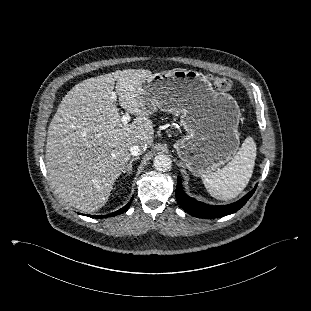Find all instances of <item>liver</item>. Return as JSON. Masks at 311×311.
I'll use <instances>...</instances> for the list:
<instances>
[{"label": "liver", "mask_w": 311, "mask_h": 311, "mask_svg": "<svg viewBox=\"0 0 311 311\" xmlns=\"http://www.w3.org/2000/svg\"><path fill=\"white\" fill-rule=\"evenodd\" d=\"M152 72L125 69L75 85L62 99L47 135L46 167L56 192L72 207L94 212L108 201L131 158L130 147L153 143L154 127L139 97ZM136 116L123 124L113 98Z\"/></svg>", "instance_id": "1"}]
</instances>
